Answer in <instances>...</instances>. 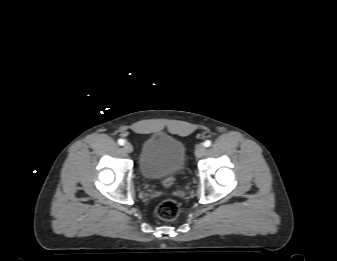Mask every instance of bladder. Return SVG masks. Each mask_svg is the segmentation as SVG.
Listing matches in <instances>:
<instances>
[{
  "instance_id": "1",
  "label": "bladder",
  "mask_w": 337,
  "mask_h": 261,
  "mask_svg": "<svg viewBox=\"0 0 337 261\" xmlns=\"http://www.w3.org/2000/svg\"><path fill=\"white\" fill-rule=\"evenodd\" d=\"M138 168L147 180H159L182 174L186 168L184 144L164 133L148 136L142 143Z\"/></svg>"
}]
</instances>
